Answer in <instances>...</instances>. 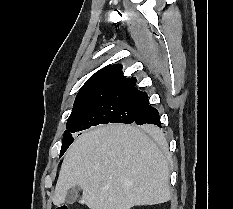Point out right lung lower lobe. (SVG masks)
Masks as SVG:
<instances>
[{
    "label": "right lung lower lobe",
    "instance_id": "obj_1",
    "mask_svg": "<svg viewBox=\"0 0 233 209\" xmlns=\"http://www.w3.org/2000/svg\"><path fill=\"white\" fill-rule=\"evenodd\" d=\"M134 123L143 125L153 130L154 125L161 127L159 122V113L157 109L149 104L141 111L139 116L135 119Z\"/></svg>",
    "mask_w": 233,
    "mask_h": 209
}]
</instances>
